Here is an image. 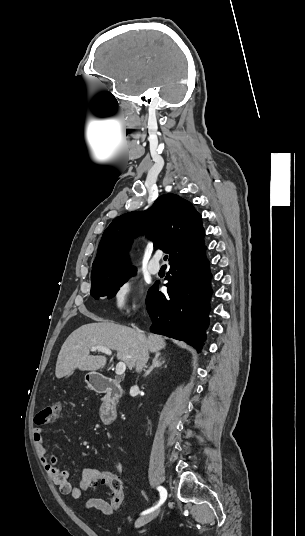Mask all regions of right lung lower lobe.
I'll return each mask as SVG.
<instances>
[{
	"label": "right lung lower lobe",
	"mask_w": 305,
	"mask_h": 536,
	"mask_svg": "<svg viewBox=\"0 0 305 536\" xmlns=\"http://www.w3.org/2000/svg\"><path fill=\"white\" fill-rule=\"evenodd\" d=\"M206 247L169 262L167 294L152 286L146 298L152 319L151 331L186 341L200 351L209 324L211 274L205 256Z\"/></svg>",
	"instance_id": "98d812e1"
}]
</instances>
